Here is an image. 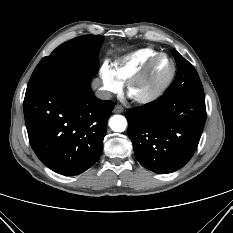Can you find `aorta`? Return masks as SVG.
Listing matches in <instances>:
<instances>
[{
	"mask_svg": "<svg viewBox=\"0 0 233 233\" xmlns=\"http://www.w3.org/2000/svg\"><path fill=\"white\" fill-rule=\"evenodd\" d=\"M109 126L114 132H123L127 126V120L122 115H114L109 120Z\"/></svg>",
	"mask_w": 233,
	"mask_h": 233,
	"instance_id": "obj_1",
	"label": "aorta"
}]
</instances>
